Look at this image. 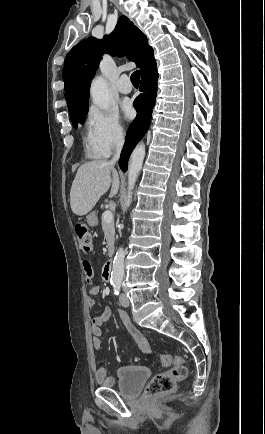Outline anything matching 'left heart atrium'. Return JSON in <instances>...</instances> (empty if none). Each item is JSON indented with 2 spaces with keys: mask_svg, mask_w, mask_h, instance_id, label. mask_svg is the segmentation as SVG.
Returning <instances> with one entry per match:
<instances>
[{
  "mask_svg": "<svg viewBox=\"0 0 265 434\" xmlns=\"http://www.w3.org/2000/svg\"><path fill=\"white\" fill-rule=\"evenodd\" d=\"M125 114L128 119H132L134 116V110L131 107H126Z\"/></svg>",
  "mask_w": 265,
  "mask_h": 434,
  "instance_id": "1",
  "label": "left heart atrium"
}]
</instances>
